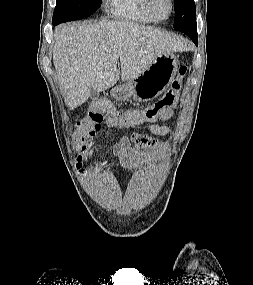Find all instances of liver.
Masks as SVG:
<instances>
[{"label":"liver","mask_w":253,"mask_h":285,"mask_svg":"<svg viewBox=\"0 0 253 285\" xmlns=\"http://www.w3.org/2000/svg\"><path fill=\"white\" fill-rule=\"evenodd\" d=\"M53 63L70 110L85 103L90 88L105 91L137 77L165 52L186 43L171 33L131 22L66 23L55 29Z\"/></svg>","instance_id":"liver-1"}]
</instances>
